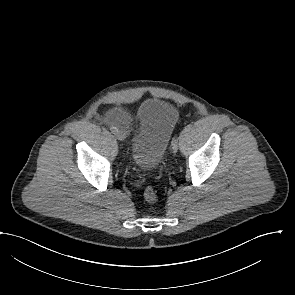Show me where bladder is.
<instances>
[{
    "mask_svg": "<svg viewBox=\"0 0 295 295\" xmlns=\"http://www.w3.org/2000/svg\"><path fill=\"white\" fill-rule=\"evenodd\" d=\"M177 118L176 107L163 99L140 105L131 137L132 159L139 168L150 171L160 165Z\"/></svg>",
    "mask_w": 295,
    "mask_h": 295,
    "instance_id": "obj_1",
    "label": "bladder"
}]
</instances>
